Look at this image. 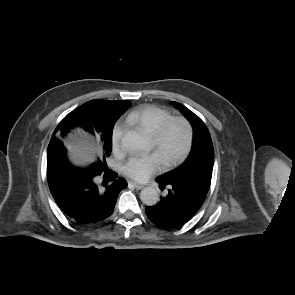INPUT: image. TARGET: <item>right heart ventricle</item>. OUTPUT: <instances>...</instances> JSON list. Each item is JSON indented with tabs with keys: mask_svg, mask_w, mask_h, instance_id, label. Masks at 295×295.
I'll list each match as a JSON object with an SVG mask.
<instances>
[{
	"mask_svg": "<svg viewBox=\"0 0 295 295\" xmlns=\"http://www.w3.org/2000/svg\"><path fill=\"white\" fill-rule=\"evenodd\" d=\"M171 117L172 114L166 109L158 106H144L130 112L126 121L152 136Z\"/></svg>",
	"mask_w": 295,
	"mask_h": 295,
	"instance_id": "obj_1",
	"label": "right heart ventricle"
}]
</instances>
